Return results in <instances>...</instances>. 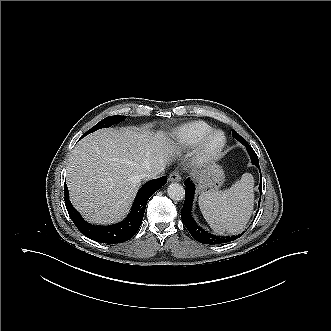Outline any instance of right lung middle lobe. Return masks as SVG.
Masks as SVG:
<instances>
[{
    "instance_id": "obj_1",
    "label": "right lung middle lobe",
    "mask_w": 331,
    "mask_h": 331,
    "mask_svg": "<svg viewBox=\"0 0 331 331\" xmlns=\"http://www.w3.org/2000/svg\"><path fill=\"white\" fill-rule=\"evenodd\" d=\"M125 118H126V116H117V115L106 117L102 121L97 123L94 127H92L90 130H88L82 137H84L85 135H88L89 133H92L98 129L110 127L115 123L123 121Z\"/></svg>"
}]
</instances>
